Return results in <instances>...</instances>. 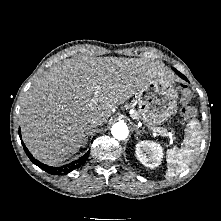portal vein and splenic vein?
<instances>
[{
  "mask_svg": "<svg viewBox=\"0 0 221 221\" xmlns=\"http://www.w3.org/2000/svg\"><path fill=\"white\" fill-rule=\"evenodd\" d=\"M95 100H96V99H92V101H94V102H95ZM157 132H159L160 134H162V132H160L159 129H157ZM168 135L172 137V136H173V133L169 132Z\"/></svg>",
  "mask_w": 221,
  "mask_h": 221,
  "instance_id": "18ae733b",
  "label": "portal vein and splenic vein"
}]
</instances>
